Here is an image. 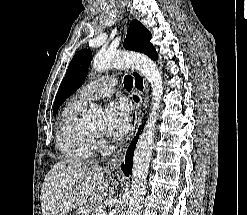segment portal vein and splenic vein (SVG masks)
<instances>
[{
  "instance_id": "1",
  "label": "portal vein and splenic vein",
  "mask_w": 247,
  "mask_h": 215,
  "mask_svg": "<svg viewBox=\"0 0 247 215\" xmlns=\"http://www.w3.org/2000/svg\"><path fill=\"white\" fill-rule=\"evenodd\" d=\"M95 215H105V212L103 210V206L102 205H99L97 208H96V214Z\"/></svg>"
}]
</instances>
